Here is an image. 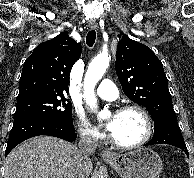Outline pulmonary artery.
<instances>
[{"label":"pulmonary artery","instance_id":"1","mask_svg":"<svg viewBox=\"0 0 194 178\" xmlns=\"http://www.w3.org/2000/svg\"><path fill=\"white\" fill-rule=\"evenodd\" d=\"M96 93L101 99L107 101H114L118 97L117 87L114 82L109 79H104L100 83Z\"/></svg>","mask_w":194,"mask_h":178}]
</instances>
